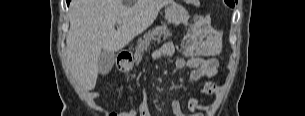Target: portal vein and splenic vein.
<instances>
[{
  "label": "portal vein and splenic vein",
  "mask_w": 305,
  "mask_h": 116,
  "mask_svg": "<svg viewBox=\"0 0 305 116\" xmlns=\"http://www.w3.org/2000/svg\"><path fill=\"white\" fill-rule=\"evenodd\" d=\"M121 23H122V21H121V20H118V21L116 22V25H121Z\"/></svg>",
  "instance_id": "obj_1"
}]
</instances>
